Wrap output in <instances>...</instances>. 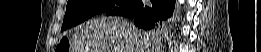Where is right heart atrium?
Instances as JSON below:
<instances>
[{"label":"right heart atrium","instance_id":"d8ad5b80","mask_svg":"<svg viewBox=\"0 0 261 52\" xmlns=\"http://www.w3.org/2000/svg\"><path fill=\"white\" fill-rule=\"evenodd\" d=\"M118 5H114L113 7H117Z\"/></svg>","mask_w":261,"mask_h":52}]
</instances>
